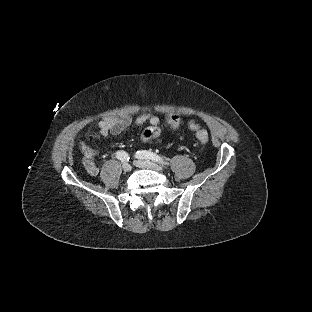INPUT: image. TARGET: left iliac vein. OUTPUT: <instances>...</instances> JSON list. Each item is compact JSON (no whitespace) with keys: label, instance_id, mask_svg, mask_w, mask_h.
Instances as JSON below:
<instances>
[{"label":"left iliac vein","instance_id":"4c4485c4","mask_svg":"<svg viewBox=\"0 0 312 312\" xmlns=\"http://www.w3.org/2000/svg\"><path fill=\"white\" fill-rule=\"evenodd\" d=\"M134 164L139 168H148L153 169L156 171H163L164 168L156 163H153L151 161H143V160H136L134 161Z\"/></svg>","mask_w":312,"mask_h":312}]
</instances>
